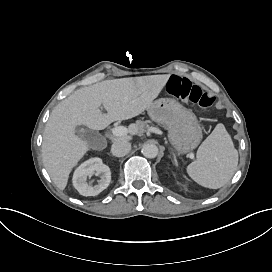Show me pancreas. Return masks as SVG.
Listing matches in <instances>:
<instances>
[{
	"instance_id": "obj_1",
	"label": "pancreas",
	"mask_w": 272,
	"mask_h": 272,
	"mask_svg": "<svg viewBox=\"0 0 272 272\" xmlns=\"http://www.w3.org/2000/svg\"><path fill=\"white\" fill-rule=\"evenodd\" d=\"M148 123V121H138L137 122V126L142 129L145 130L146 124Z\"/></svg>"
}]
</instances>
